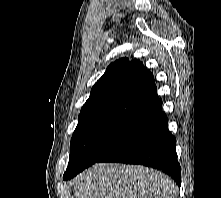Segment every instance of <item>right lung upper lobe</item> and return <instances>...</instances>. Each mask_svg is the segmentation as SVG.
I'll use <instances>...</instances> for the list:
<instances>
[{
	"instance_id": "obj_1",
	"label": "right lung upper lobe",
	"mask_w": 221,
	"mask_h": 198,
	"mask_svg": "<svg viewBox=\"0 0 221 198\" xmlns=\"http://www.w3.org/2000/svg\"><path fill=\"white\" fill-rule=\"evenodd\" d=\"M153 75L139 60L111 63L83 105L76 129L102 119L143 122L161 109Z\"/></svg>"
}]
</instances>
